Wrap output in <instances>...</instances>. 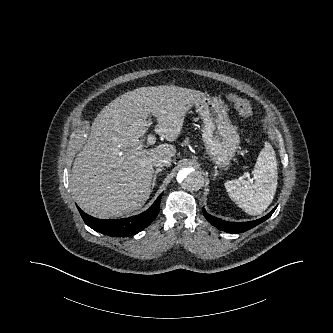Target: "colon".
Masks as SVG:
<instances>
[{
    "label": "colon",
    "instance_id": "1",
    "mask_svg": "<svg viewBox=\"0 0 333 333\" xmlns=\"http://www.w3.org/2000/svg\"><path fill=\"white\" fill-rule=\"evenodd\" d=\"M227 98L234 104L236 110L239 114L245 118L252 116L253 109L250 102L236 94L230 93L227 94Z\"/></svg>",
    "mask_w": 333,
    "mask_h": 333
}]
</instances>
